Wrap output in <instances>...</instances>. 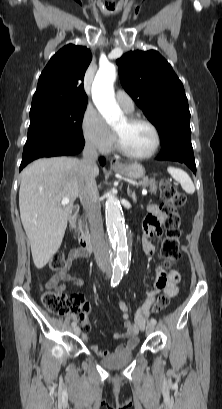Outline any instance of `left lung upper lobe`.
Returning <instances> with one entry per match:
<instances>
[{
	"mask_svg": "<svg viewBox=\"0 0 222 409\" xmlns=\"http://www.w3.org/2000/svg\"><path fill=\"white\" fill-rule=\"evenodd\" d=\"M116 63L122 86L156 126L162 148L191 144L188 100L171 65L154 50L128 52Z\"/></svg>",
	"mask_w": 222,
	"mask_h": 409,
	"instance_id": "obj_1",
	"label": "left lung upper lobe"
}]
</instances>
